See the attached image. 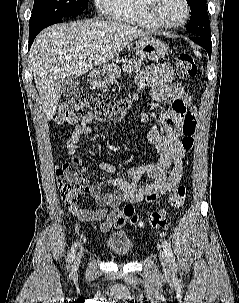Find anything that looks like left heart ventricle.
Returning <instances> with one entry per match:
<instances>
[{"mask_svg":"<svg viewBox=\"0 0 239 303\" xmlns=\"http://www.w3.org/2000/svg\"><path fill=\"white\" fill-rule=\"evenodd\" d=\"M157 13L167 24H178L185 17V6L182 0H159Z\"/></svg>","mask_w":239,"mask_h":303,"instance_id":"1","label":"left heart ventricle"}]
</instances>
